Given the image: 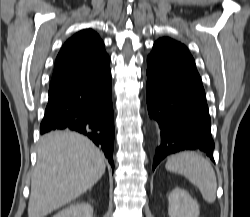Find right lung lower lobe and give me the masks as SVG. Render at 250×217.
<instances>
[{
	"mask_svg": "<svg viewBox=\"0 0 250 217\" xmlns=\"http://www.w3.org/2000/svg\"><path fill=\"white\" fill-rule=\"evenodd\" d=\"M109 64L108 57L90 72L49 88L40 133L62 129L77 131L102 150L114 169V114Z\"/></svg>",
	"mask_w": 250,
	"mask_h": 217,
	"instance_id": "obj_1",
	"label": "right lung lower lobe"
}]
</instances>
